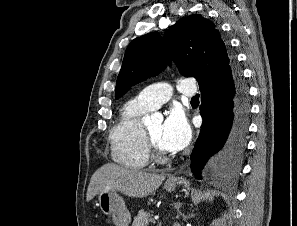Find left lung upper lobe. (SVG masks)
I'll return each instance as SVG.
<instances>
[{
    "mask_svg": "<svg viewBox=\"0 0 297 226\" xmlns=\"http://www.w3.org/2000/svg\"><path fill=\"white\" fill-rule=\"evenodd\" d=\"M232 59L214 24L202 15H191L177 21L163 37L153 32L129 44L117 77L115 98L136 83L157 75L171 60L177 63L182 75L200 82L227 73Z\"/></svg>",
    "mask_w": 297,
    "mask_h": 226,
    "instance_id": "obj_1",
    "label": "left lung upper lobe"
}]
</instances>
